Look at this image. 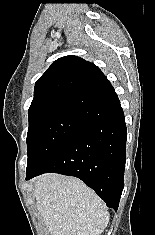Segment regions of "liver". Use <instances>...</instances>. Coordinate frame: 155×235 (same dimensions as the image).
I'll use <instances>...</instances> for the list:
<instances>
[{
	"mask_svg": "<svg viewBox=\"0 0 155 235\" xmlns=\"http://www.w3.org/2000/svg\"><path fill=\"white\" fill-rule=\"evenodd\" d=\"M34 196L50 235H100L109 222L104 202L77 178L37 177Z\"/></svg>",
	"mask_w": 155,
	"mask_h": 235,
	"instance_id": "6515ba94",
	"label": "liver"
}]
</instances>
